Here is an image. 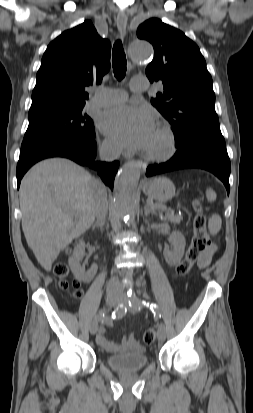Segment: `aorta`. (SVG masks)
<instances>
[{"instance_id": "obj_1", "label": "aorta", "mask_w": 253, "mask_h": 413, "mask_svg": "<svg viewBox=\"0 0 253 413\" xmlns=\"http://www.w3.org/2000/svg\"><path fill=\"white\" fill-rule=\"evenodd\" d=\"M129 54L133 61L144 64L153 55V48L144 40H134L129 46ZM140 173V164L136 161H129L115 178L114 202L117 211L130 222L135 216L136 190Z\"/></svg>"}]
</instances>
